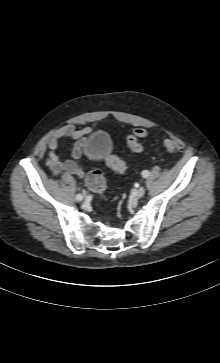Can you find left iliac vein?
Returning a JSON list of instances; mask_svg holds the SVG:
<instances>
[{
	"label": "left iliac vein",
	"instance_id": "1",
	"mask_svg": "<svg viewBox=\"0 0 220 363\" xmlns=\"http://www.w3.org/2000/svg\"><path fill=\"white\" fill-rule=\"evenodd\" d=\"M144 193H145V188L140 187L135 193V199H139V198L143 197Z\"/></svg>",
	"mask_w": 220,
	"mask_h": 363
}]
</instances>
